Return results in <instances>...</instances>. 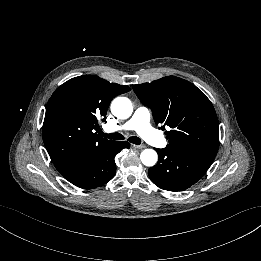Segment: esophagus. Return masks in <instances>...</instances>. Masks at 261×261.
<instances>
[{
  "label": "esophagus",
  "mask_w": 261,
  "mask_h": 261,
  "mask_svg": "<svg viewBox=\"0 0 261 261\" xmlns=\"http://www.w3.org/2000/svg\"><path fill=\"white\" fill-rule=\"evenodd\" d=\"M132 147L137 148V149H143V148H145V145H143V144H141V145L132 144Z\"/></svg>",
  "instance_id": "34e87169"
}]
</instances>
